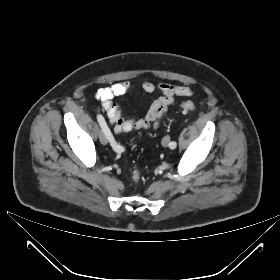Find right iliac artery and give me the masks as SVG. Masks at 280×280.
Masks as SVG:
<instances>
[{"label":"right iliac artery","mask_w":280,"mask_h":280,"mask_svg":"<svg viewBox=\"0 0 280 280\" xmlns=\"http://www.w3.org/2000/svg\"><path fill=\"white\" fill-rule=\"evenodd\" d=\"M97 120H98V123L101 126L103 132L105 133L107 139L109 140L112 148L118 152L123 151L124 148L115 141L112 133L110 132V130L106 124L104 117L101 114H98Z\"/></svg>","instance_id":"1"}]
</instances>
